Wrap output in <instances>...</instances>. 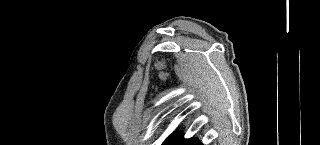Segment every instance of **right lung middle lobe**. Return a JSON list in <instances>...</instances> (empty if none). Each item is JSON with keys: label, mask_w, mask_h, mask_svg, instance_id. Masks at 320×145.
I'll list each match as a JSON object with an SVG mask.
<instances>
[{"label": "right lung middle lobe", "mask_w": 320, "mask_h": 145, "mask_svg": "<svg viewBox=\"0 0 320 145\" xmlns=\"http://www.w3.org/2000/svg\"><path fill=\"white\" fill-rule=\"evenodd\" d=\"M170 142H171V139H167V140L164 142V145H168Z\"/></svg>", "instance_id": "obj_1"}]
</instances>
